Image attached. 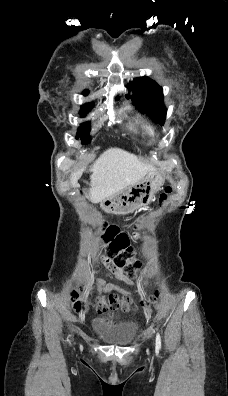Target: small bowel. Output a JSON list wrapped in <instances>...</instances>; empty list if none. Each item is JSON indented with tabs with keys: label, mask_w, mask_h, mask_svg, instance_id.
<instances>
[{
	"label": "small bowel",
	"mask_w": 228,
	"mask_h": 396,
	"mask_svg": "<svg viewBox=\"0 0 228 396\" xmlns=\"http://www.w3.org/2000/svg\"><path fill=\"white\" fill-rule=\"evenodd\" d=\"M103 264L108 269L110 276H115L116 278H118L120 280L127 281L126 278L124 277L121 269L119 267H117L112 261L104 260ZM94 282L97 285L98 291H103V292H112V291L123 292L124 291L120 286L113 284V283H106L99 279H95Z\"/></svg>",
	"instance_id": "small-bowel-1"
}]
</instances>
